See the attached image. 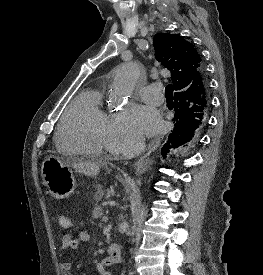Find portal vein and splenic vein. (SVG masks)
<instances>
[{
    "label": "portal vein and splenic vein",
    "instance_id": "portal-vein-and-splenic-vein-1",
    "mask_svg": "<svg viewBox=\"0 0 263 275\" xmlns=\"http://www.w3.org/2000/svg\"><path fill=\"white\" fill-rule=\"evenodd\" d=\"M102 220L106 222V221H108V217H107V216H104V217L102 218Z\"/></svg>",
    "mask_w": 263,
    "mask_h": 275
}]
</instances>
